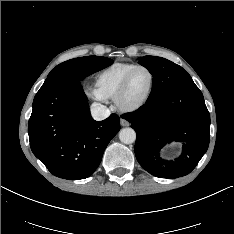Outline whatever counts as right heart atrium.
I'll return each instance as SVG.
<instances>
[{
  "mask_svg": "<svg viewBox=\"0 0 234 234\" xmlns=\"http://www.w3.org/2000/svg\"><path fill=\"white\" fill-rule=\"evenodd\" d=\"M87 94L92 99H95V100H98V101H105L106 100L100 95V93L98 92V90L96 88H89L87 90Z\"/></svg>",
  "mask_w": 234,
  "mask_h": 234,
  "instance_id": "d8ad5b80",
  "label": "right heart atrium"
}]
</instances>
